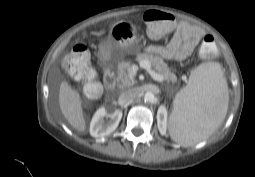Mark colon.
<instances>
[{
  "instance_id": "colon-1",
  "label": "colon",
  "mask_w": 255,
  "mask_h": 177,
  "mask_svg": "<svg viewBox=\"0 0 255 177\" xmlns=\"http://www.w3.org/2000/svg\"><path fill=\"white\" fill-rule=\"evenodd\" d=\"M147 32L153 39H158L168 33L175 25L173 15L163 11L149 10L144 14ZM200 54L205 58H212L217 52L215 38L211 35L204 37L200 44ZM62 67L66 73L82 81L83 89L88 97L95 98L100 94L101 88L97 81L96 70L91 65L90 54L84 43H78L67 54Z\"/></svg>"
}]
</instances>
